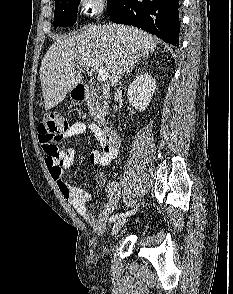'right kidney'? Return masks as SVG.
<instances>
[{
  "mask_svg": "<svg viewBox=\"0 0 233 294\" xmlns=\"http://www.w3.org/2000/svg\"><path fill=\"white\" fill-rule=\"evenodd\" d=\"M155 89V79L148 73H140L128 87L127 97L129 103L140 112L146 110Z\"/></svg>",
  "mask_w": 233,
  "mask_h": 294,
  "instance_id": "ca27d5eb",
  "label": "right kidney"
}]
</instances>
